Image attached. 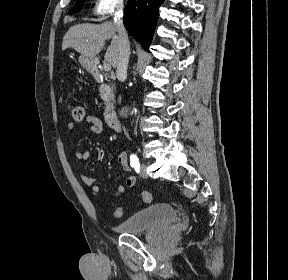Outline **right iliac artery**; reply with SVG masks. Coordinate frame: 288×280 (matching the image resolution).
Masks as SVG:
<instances>
[{
    "label": "right iliac artery",
    "instance_id": "1",
    "mask_svg": "<svg viewBox=\"0 0 288 280\" xmlns=\"http://www.w3.org/2000/svg\"><path fill=\"white\" fill-rule=\"evenodd\" d=\"M135 164H140L139 163V159H138V157L136 155H131L130 156V165H131V167L135 168L134 167Z\"/></svg>",
    "mask_w": 288,
    "mask_h": 280
}]
</instances>
